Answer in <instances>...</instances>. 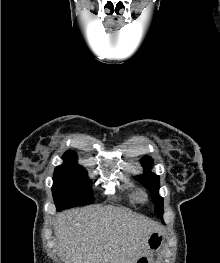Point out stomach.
<instances>
[{
	"mask_svg": "<svg viewBox=\"0 0 220 263\" xmlns=\"http://www.w3.org/2000/svg\"><path fill=\"white\" fill-rule=\"evenodd\" d=\"M166 236L161 231H155L150 234L147 240V247L142 254L137 258L135 263H153L154 252L161 249L164 245Z\"/></svg>",
	"mask_w": 220,
	"mask_h": 263,
	"instance_id": "1",
	"label": "stomach"
}]
</instances>
